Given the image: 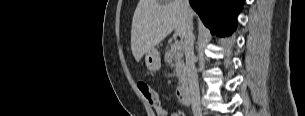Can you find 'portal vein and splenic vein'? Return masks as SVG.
I'll use <instances>...</instances> for the list:
<instances>
[{
  "label": "portal vein and splenic vein",
  "mask_w": 305,
  "mask_h": 116,
  "mask_svg": "<svg viewBox=\"0 0 305 116\" xmlns=\"http://www.w3.org/2000/svg\"><path fill=\"white\" fill-rule=\"evenodd\" d=\"M174 48H175V49H180V48H182V44H181L180 42L176 41V42L174 43Z\"/></svg>",
  "instance_id": "portal-vein-and-splenic-vein-1"
}]
</instances>
